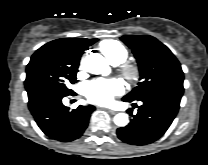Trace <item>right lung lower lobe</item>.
<instances>
[{
  "label": "right lung lower lobe",
  "mask_w": 208,
  "mask_h": 165,
  "mask_svg": "<svg viewBox=\"0 0 208 165\" xmlns=\"http://www.w3.org/2000/svg\"><path fill=\"white\" fill-rule=\"evenodd\" d=\"M70 94L48 92L29 100V109L40 129L51 139L70 142L79 138L88 126L92 105L82 106L70 111L62 104V99Z\"/></svg>",
  "instance_id": "obj_1"
}]
</instances>
